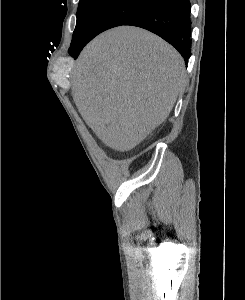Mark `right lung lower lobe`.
<instances>
[{"label":"right lung lower lobe","instance_id":"98d812e1","mask_svg":"<svg viewBox=\"0 0 245 300\" xmlns=\"http://www.w3.org/2000/svg\"><path fill=\"white\" fill-rule=\"evenodd\" d=\"M190 8L189 0H159L124 25L141 27L157 34L187 60L191 45ZM85 45L70 48L69 53L76 58Z\"/></svg>","mask_w":245,"mask_h":300}]
</instances>
